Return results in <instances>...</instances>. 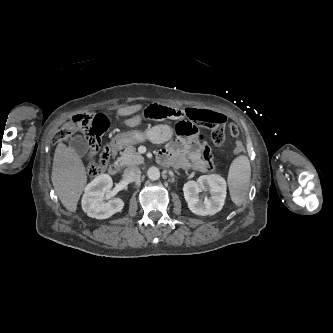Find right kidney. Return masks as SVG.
I'll return each mask as SVG.
<instances>
[{"label":"right kidney","mask_w":333,"mask_h":333,"mask_svg":"<svg viewBox=\"0 0 333 333\" xmlns=\"http://www.w3.org/2000/svg\"><path fill=\"white\" fill-rule=\"evenodd\" d=\"M112 185V178L108 174H101L86 186L81 202L83 211L89 217L106 219L123 209L124 202L120 198L102 202L105 193L112 188Z\"/></svg>","instance_id":"right-kidney-1"}]
</instances>
